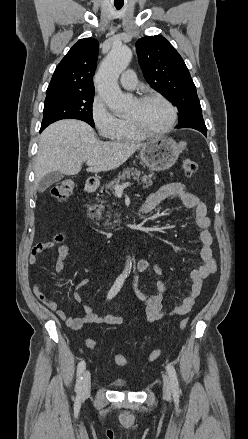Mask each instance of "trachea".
<instances>
[{
  "label": "trachea",
  "mask_w": 248,
  "mask_h": 439,
  "mask_svg": "<svg viewBox=\"0 0 248 439\" xmlns=\"http://www.w3.org/2000/svg\"><path fill=\"white\" fill-rule=\"evenodd\" d=\"M115 7H116V9H121L122 7H123V4H120V5H117V4H115Z\"/></svg>",
  "instance_id": "1"
}]
</instances>
